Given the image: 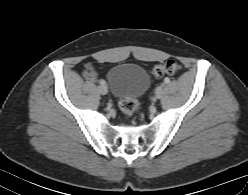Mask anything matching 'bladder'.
<instances>
[{"label":"bladder","mask_w":248,"mask_h":195,"mask_svg":"<svg viewBox=\"0 0 248 195\" xmlns=\"http://www.w3.org/2000/svg\"><path fill=\"white\" fill-rule=\"evenodd\" d=\"M112 93L116 97L140 98L147 90L150 80L142 67L132 63L113 66L107 74Z\"/></svg>","instance_id":"obj_1"}]
</instances>
